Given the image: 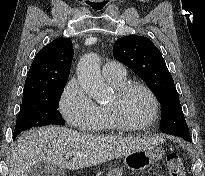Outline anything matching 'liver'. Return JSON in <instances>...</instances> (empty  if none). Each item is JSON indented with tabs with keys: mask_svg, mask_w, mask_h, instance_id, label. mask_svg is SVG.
Listing matches in <instances>:
<instances>
[{
	"mask_svg": "<svg viewBox=\"0 0 205 176\" xmlns=\"http://www.w3.org/2000/svg\"><path fill=\"white\" fill-rule=\"evenodd\" d=\"M162 142L160 137L97 136L65 127L32 129L19 137L12 149L9 176H29L37 163L54 164L70 170L96 166ZM67 152L74 153L69 161L64 158Z\"/></svg>",
	"mask_w": 205,
	"mask_h": 176,
	"instance_id": "obj_1",
	"label": "liver"
}]
</instances>
